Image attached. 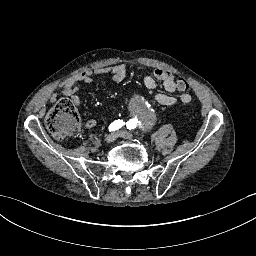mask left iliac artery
<instances>
[{"mask_svg": "<svg viewBox=\"0 0 256 256\" xmlns=\"http://www.w3.org/2000/svg\"><path fill=\"white\" fill-rule=\"evenodd\" d=\"M135 123H136L135 119H130L127 122L126 126H127L128 129H132V127L134 126Z\"/></svg>", "mask_w": 256, "mask_h": 256, "instance_id": "1", "label": "left iliac artery"}]
</instances>
